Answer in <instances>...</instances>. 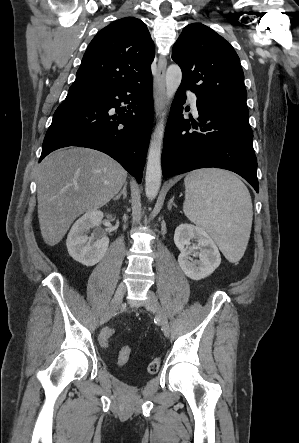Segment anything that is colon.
Listing matches in <instances>:
<instances>
[{
  "instance_id": "1",
  "label": "colon",
  "mask_w": 299,
  "mask_h": 443,
  "mask_svg": "<svg viewBox=\"0 0 299 443\" xmlns=\"http://www.w3.org/2000/svg\"><path fill=\"white\" fill-rule=\"evenodd\" d=\"M115 334V330L112 328H106L104 329L101 334H100V342L103 345H106L111 338L114 336ZM131 356V349L129 347H123L118 354V362L120 364H125L126 362H128V360L130 359ZM160 365H161V359L159 357H155L153 358L147 367V370L149 373H156L159 369H160Z\"/></svg>"
}]
</instances>
